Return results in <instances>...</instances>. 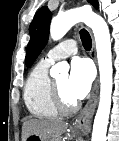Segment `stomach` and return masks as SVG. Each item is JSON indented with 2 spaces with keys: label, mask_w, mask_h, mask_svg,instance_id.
<instances>
[{
  "label": "stomach",
  "mask_w": 119,
  "mask_h": 141,
  "mask_svg": "<svg viewBox=\"0 0 119 141\" xmlns=\"http://www.w3.org/2000/svg\"><path fill=\"white\" fill-rule=\"evenodd\" d=\"M25 141H63L61 135H41L32 133L27 136Z\"/></svg>",
  "instance_id": "1"
}]
</instances>
